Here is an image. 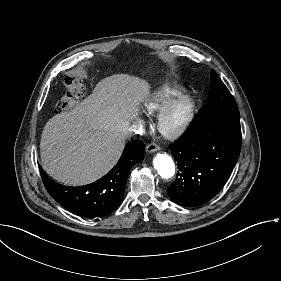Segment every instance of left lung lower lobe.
<instances>
[{"label": "left lung lower lobe", "mask_w": 281, "mask_h": 281, "mask_svg": "<svg viewBox=\"0 0 281 281\" xmlns=\"http://www.w3.org/2000/svg\"><path fill=\"white\" fill-rule=\"evenodd\" d=\"M241 140L239 118H197L186 135L170 146L179 169L167 188L171 200L196 207L212 199L238 160Z\"/></svg>", "instance_id": "0a47b994"}]
</instances>
